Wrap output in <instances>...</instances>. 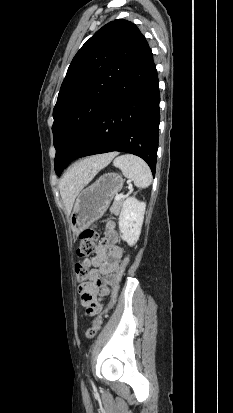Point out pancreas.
Here are the masks:
<instances>
[{"label":"pancreas","instance_id":"1","mask_svg":"<svg viewBox=\"0 0 233 413\" xmlns=\"http://www.w3.org/2000/svg\"><path fill=\"white\" fill-rule=\"evenodd\" d=\"M123 203H124V199H121L119 201H114L110 208V212L114 215H118L120 213Z\"/></svg>","mask_w":233,"mask_h":413}]
</instances>
